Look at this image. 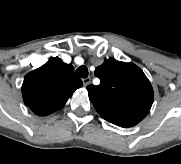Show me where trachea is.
Segmentation results:
<instances>
[{
    "label": "trachea",
    "mask_w": 181,
    "mask_h": 164,
    "mask_svg": "<svg viewBox=\"0 0 181 164\" xmlns=\"http://www.w3.org/2000/svg\"><path fill=\"white\" fill-rule=\"evenodd\" d=\"M76 75L81 78H87L88 77V68L84 65L80 66L76 70Z\"/></svg>",
    "instance_id": "trachea-1"
}]
</instances>
